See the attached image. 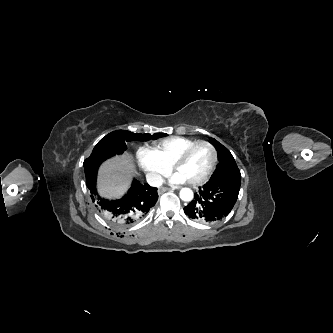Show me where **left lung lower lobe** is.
<instances>
[{
  "instance_id": "1",
  "label": "left lung lower lobe",
  "mask_w": 333,
  "mask_h": 333,
  "mask_svg": "<svg viewBox=\"0 0 333 333\" xmlns=\"http://www.w3.org/2000/svg\"><path fill=\"white\" fill-rule=\"evenodd\" d=\"M239 169L224 171L211 179L195 193L194 199L184 207L190 218L203 223L217 222L233 209L240 190Z\"/></svg>"
}]
</instances>
